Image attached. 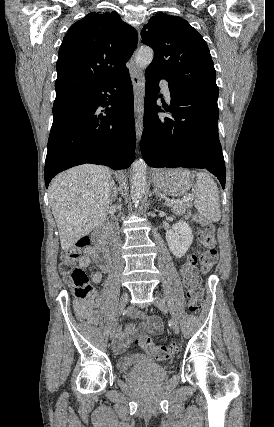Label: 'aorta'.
Instances as JSON below:
<instances>
[{
	"label": "aorta",
	"mask_w": 274,
	"mask_h": 427,
	"mask_svg": "<svg viewBox=\"0 0 274 427\" xmlns=\"http://www.w3.org/2000/svg\"><path fill=\"white\" fill-rule=\"evenodd\" d=\"M153 50L150 47L142 46L135 55L136 66L141 69H146L153 60ZM147 164L143 159L136 160L133 163V173L131 178V197L135 204H138L146 193Z\"/></svg>",
	"instance_id": "aorta-1"
}]
</instances>
